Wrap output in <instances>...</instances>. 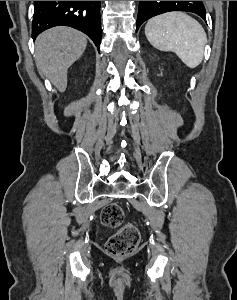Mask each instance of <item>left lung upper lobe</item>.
Wrapping results in <instances>:
<instances>
[{"label": "left lung upper lobe", "instance_id": "1", "mask_svg": "<svg viewBox=\"0 0 237 300\" xmlns=\"http://www.w3.org/2000/svg\"><path fill=\"white\" fill-rule=\"evenodd\" d=\"M170 11L193 12L206 20V11L202 1H140L137 30L151 17Z\"/></svg>", "mask_w": 237, "mask_h": 300}]
</instances>
